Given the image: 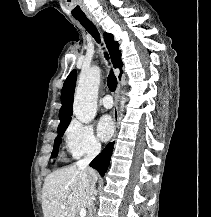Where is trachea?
<instances>
[{
    "instance_id": "obj_1",
    "label": "trachea",
    "mask_w": 211,
    "mask_h": 217,
    "mask_svg": "<svg viewBox=\"0 0 211 217\" xmlns=\"http://www.w3.org/2000/svg\"><path fill=\"white\" fill-rule=\"evenodd\" d=\"M81 25L95 38V40L100 43V35L97 30V28L94 26V24L91 22L90 19H88L86 16L81 18H76ZM107 57V56H106ZM108 87L110 91L114 92L117 87V78L115 77L113 71L110 72L108 76Z\"/></svg>"
}]
</instances>
